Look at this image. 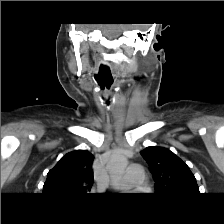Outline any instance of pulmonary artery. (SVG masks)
<instances>
[{
    "mask_svg": "<svg viewBox=\"0 0 224 224\" xmlns=\"http://www.w3.org/2000/svg\"><path fill=\"white\" fill-rule=\"evenodd\" d=\"M144 179L143 169L137 164H132L126 169L123 179L116 187L120 189L127 187H140L143 185Z\"/></svg>",
    "mask_w": 224,
    "mask_h": 224,
    "instance_id": "1",
    "label": "pulmonary artery"
}]
</instances>
